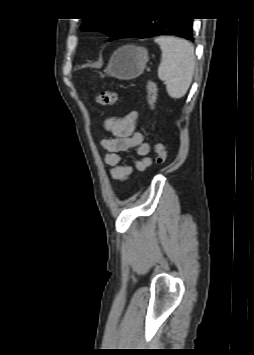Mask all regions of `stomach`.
Here are the masks:
<instances>
[{
	"mask_svg": "<svg viewBox=\"0 0 254 355\" xmlns=\"http://www.w3.org/2000/svg\"><path fill=\"white\" fill-rule=\"evenodd\" d=\"M147 62L146 48L126 45L113 53L105 72L121 80L134 79L143 73Z\"/></svg>",
	"mask_w": 254,
	"mask_h": 355,
	"instance_id": "1",
	"label": "stomach"
}]
</instances>
